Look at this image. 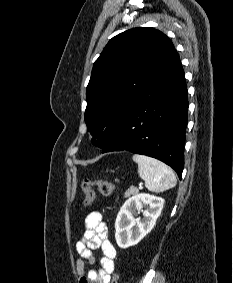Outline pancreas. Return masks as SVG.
Wrapping results in <instances>:
<instances>
[{"instance_id": "cf45deb5", "label": "pancreas", "mask_w": 233, "mask_h": 283, "mask_svg": "<svg viewBox=\"0 0 233 283\" xmlns=\"http://www.w3.org/2000/svg\"><path fill=\"white\" fill-rule=\"evenodd\" d=\"M139 192V190L135 187H131L130 189H128L126 192H125V197H129L131 195H137Z\"/></svg>"}]
</instances>
